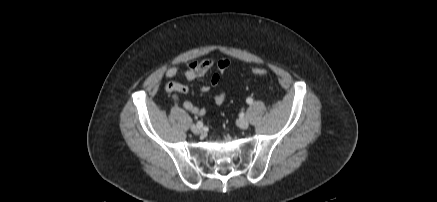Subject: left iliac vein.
<instances>
[{"label":"left iliac vein","instance_id":"4c4485c4","mask_svg":"<svg viewBox=\"0 0 437 202\" xmlns=\"http://www.w3.org/2000/svg\"><path fill=\"white\" fill-rule=\"evenodd\" d=\"M237 125H238V127H240L241 129H247L248 128V126H249V122H248V120H247V118H240L238 121H237Z\"/></svg>","mask_w":437,"mask_h":202}]
</instances>
